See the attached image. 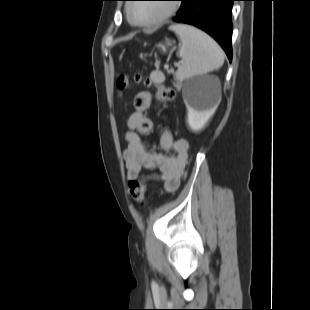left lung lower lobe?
<instances>
[{"mask_svg": "<svg viewBox=\"0 0 310 310\" xmlns=\"http://www.w3.org/2000/svg\"><path fill=\"white\" fill-rule=\"evenodd\" d=\"M236 0H185L173 20L193 25L212 36L232 60V3Z\"/></svg>", "mask_w": 310, "mask_h": 310, "instance_id": "1", "label": "left lung lower lobe"}]
</instances>
